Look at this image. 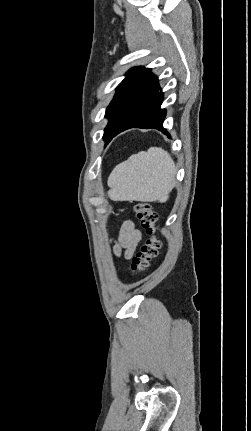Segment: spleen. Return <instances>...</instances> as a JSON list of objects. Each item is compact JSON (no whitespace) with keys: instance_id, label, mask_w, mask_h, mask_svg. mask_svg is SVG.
<instances>
[{"instance_id":"3e777b00","label":"spleen","mask_w":251,"mask_h":431,"mask_svg":"<svg viewBox=\"0 0 251 431\" xmlns=\"http://www.w3.org/2000/svg\"><path fill=\"white\" fill-rule=\"evenodd\" d=\"M176 168L162 148L151 147L117 165L108 177L114 201L166 202L175 185Z\"/></svg>"}]
</instances>
